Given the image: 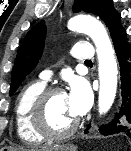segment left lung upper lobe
<instances>
[{"label":"left lung upper lobe","mask_w":131,"mask_h":151,"mask_svg":"<svg viewBox=\"0 0 131 151\" xmlns=\"http://www.w3.org/2000/svg\"><path fill=\"white\" fill-rule=\"evenodd\" d=\"M73 10L74 12L82 10L98 15L108 27L112 40L126 33V30L120 24V13L113 8V0H75ZM45 34V22L40 21L25 36L18 50L12 71L10 96L14 94L41 58Z\"/></svg>","instance_id":"1"}]
</instances>
